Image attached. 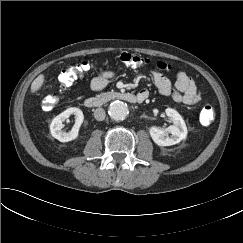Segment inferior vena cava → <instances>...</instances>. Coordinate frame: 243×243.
<instances>
[{
	"label": "inferior vena cava",
	"mask_w": 243,
	"mask_h": 243,
	"mask_svg": "<svg viewBox=\"0 0 243 243\" xmlns=\"http://www.w3.org/2000/svg\"><path fill=\"white\" fill-rule=\"evenodd\" d=\"M105 110L103 108H97L95 111H94V117L96 120L98 121H103L105 119Z\"/></svg>",
	"instance_id": "inferior-vena-cava-1"
}]
</instances>
